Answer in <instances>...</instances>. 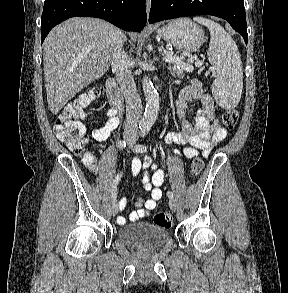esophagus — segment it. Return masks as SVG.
Returning a JSON list of instances; mask_svg holds the SVG:
<instances>
[{"label": "esophagus", "mask_w": 288, "mask_h": 293, "mask_svg": "<svg viewBox=\"0 0 288 293\" xmlns=\"http://www.w3.org/2000/svg\"><path fill=\"white\" fill-rule=\"evenodd\" d=\"M150 7H151V0H146V11H147V14H149Z\"/></svg>", "instance_id": "34e87169"}]
</instances>
